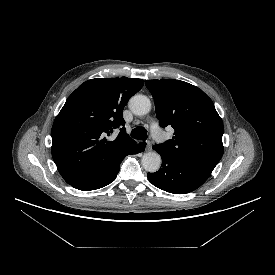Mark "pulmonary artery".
<instances>
[{"instance_id":"e3ab8cb5","label":"pulmonary artery","mask_w":275,"mask_h":275,"mask_svg":"<svg viewBox=\"0 0 275 275\" xmlns=\"http://www.w3.org/2000/svg\"><path fill=\"white\" fill-rule=\"evenodd\" d=\"M151 131L155 139H161V132L157 124H152Z\"/></svg>"}]
</instances>
